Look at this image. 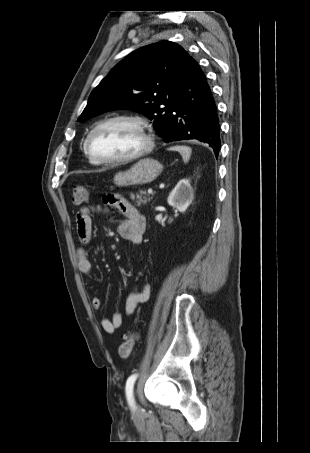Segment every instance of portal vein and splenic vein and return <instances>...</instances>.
Listing matches in <instances>:
<instances>
[{
    "mask_svg": "<svg viewBox=\"0 0 310 453\" xmlns=\"http://www.w3.org/2000/svg\"><path fill=\"white\" fill-rule=\"evenodd\" d=\"M148 194H153V190L151 188L148 189Z\"/></svg>",
    "mask_w": 310,
    "mask_h": 453,
    "instance_id": "18ae733b",
    "label": "portal vein and splenic vein"
}]
</instances>
